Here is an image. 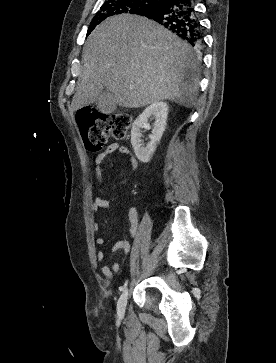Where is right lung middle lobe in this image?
<instances>
[{
  "label": "right lung middle lobe",
  "instance_id": "right-lung-middle-lobe-1",
  "mask_svg": "<svg viewBox=\"0 0 276 363\" xmlns=\"http://www.w3.org/2000/svg\"><path fill=\"white\" fill-rule=\"evenodd\" d=\"M155 3H157V1L154 0H108L93 17L87 35L108 17L119 14L138 15Z\"/></svg>",
  "mask_w": 276,
  "mask_h": 363
}]
</instances>
